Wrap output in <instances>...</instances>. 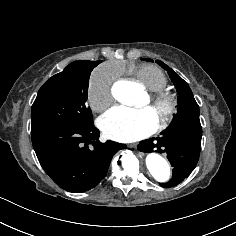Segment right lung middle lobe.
Returning a JSON list of instances; mask_svg holds the SVG:
<instances>
[{"mask_svg": "<svg viewBox=\"0 0 236 236\" xmlns=\"http://www.w3.org/2000/svg\"><path fill=\"white\" fill-rule=\"evenodd\" d=\"M99 63L74 61L45 82L32 105L31 130L92 121V112L86 106L88 83L91 71Z\"/></svg>", "mask_w": 236, "mask_h": 236, "instance_id": "right-lung-middle-lobe-1", "label": "right lung middle lobe"}]
</instances>
